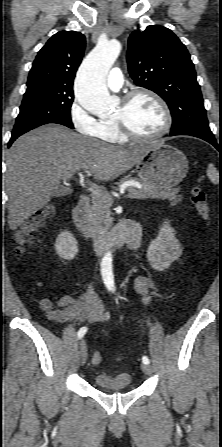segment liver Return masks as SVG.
I'll return each instance as SVG.
<instances>
[{
    "label": "liver",
    "instance_id": "6515ba94",
    "mask_svg": "<svg viewBox=\"0 0 222 447\" xmlns=\"http://www.w3.org/2000/svg\"><path fill=\"white\" fill-rule=\"evenodd\" d=\"M153 145L120 147L45 125L19 137L7 152L5 183L12 230L45 207L61 181L80 169L96 180H113L131 169Z\"/></svg>",
    "mask_w": 222,
    "mask_h": 447
}]
</instances>
